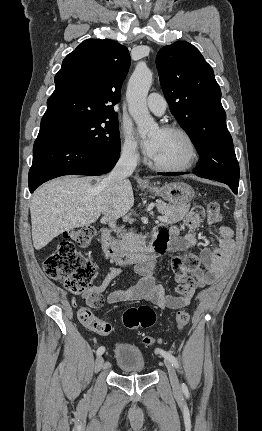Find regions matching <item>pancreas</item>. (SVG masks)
<instances>
[{
    "mask_svg": "<svg viewBox=\"0 0 262 431\" xmlns=\"http://www.w3.org/2000/svg\"><path fill=\"white\" fill-rule=\"evenodd\" d=\"M156 206L158 212L167 219L166 224L179 222L189 211V205H169L161 200H156ZM143 245V237L132 232L125 234L120 241L121 248L130 252L141 250Z\"/></svg>",
    "mask_w": 262,
    "mask_h": 431,
    "instance_id": "cf45deb5",
    "label": "pancreas"
}]
</instances>
